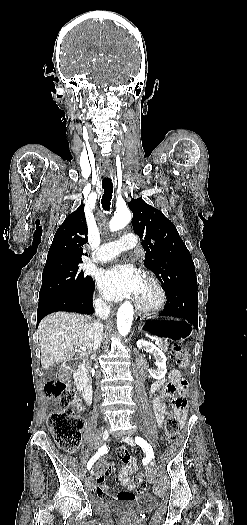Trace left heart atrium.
I'll return each instance as SVG.
<instances>
[{
	"instance_id": "1",
	"label": "left heart atrium",
	"mask_w": 247,
	"mask_h": 525,
	"mask_svg": "<svg viewBox=\"0 0 247 525\" xmlns=\"http://www.w3.org/2000/svg\"><path fill=\"white\" fill-rule=\"evenodd\" d=\"M98 280L102 289L113 298L138 296L141 291V279L136 269L121 270L119 262L102 270Z\"/></svg>"
}]
</instances>
